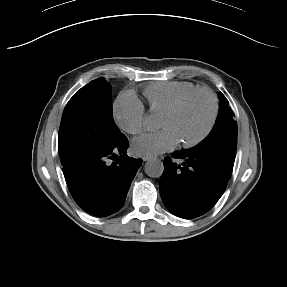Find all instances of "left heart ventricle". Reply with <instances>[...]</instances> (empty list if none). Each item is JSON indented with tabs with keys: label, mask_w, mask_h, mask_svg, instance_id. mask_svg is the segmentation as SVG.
Masks as SVG:
<instances>
[{
	"label": "left heart ventricle",
	"mask_w": 287,
	"mask_h": 287,
	"mask_svg": "<svg viewBox=\"0 0 287 287\" xmlns=\"http://www.w3.org/2000/svg\"><path fill=\"white\" fill-rule=\"evenodd\" d=\"M211 114V103L204 94L195 95L176 114L163 115L160 126L172 129L179 141H188L206 128Z\"/></svg>",
	"instance_id": "b2bd125f"
}]
</instances>
